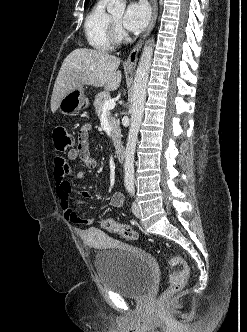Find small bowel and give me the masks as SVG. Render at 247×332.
<instances>
[{
	"mask_svg": "<svg viewBox=\"0 0 247 332\" xmlns=\"http://www.w3.org/2000/svg\"><path fill=\"white\" fill-rule=\"evenodd\" d=\"M90 129V124H84L80 127L79 142L77 147L70 149L67 152L66 158L61 156L56 157L53 170L56 194L59 198L60 206L66 218L74 224L84 226L91 225L94 222V218L83 217L71 207V195L73 188L67 180V176L72 174L69 161L81 159L87 168H94L97 165V160L91 153L88 143ZM76 177L79 179H85V174L83 172H77ZM80 195L84 198H93V194L89 191H82L80 192ZM123 200V194L119 191H115L110 195L105 205H109L111 207H121Z\"/></svg>",
	"mask_w": 247,
	"mask_h": 332,
	"instance_id": "obj_1",
	"label": "small bowel"
}]
</instances>
